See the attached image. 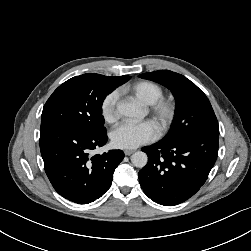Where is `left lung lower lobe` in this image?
Returning <instances> with one entry per match:
<instances>
[{"label": "left lung lower lobe", "mask_w": 251, "mask_h": 251, "mask_svg": "<svg viewBox=\"0 0 251 251\" xmlns=\"http://www.w3.org/2000/svg\"><path fill=\"white\" fill-rule=\"evenodd\" d=\"M219 136L197 134L177 142L159 141L143 148L147 165L138 173L144 193L173 206L192 197L205 183L218 153Z\"/></svg>", "instance_id": "left-lung-lower-lobe-1"}]
</instances>
